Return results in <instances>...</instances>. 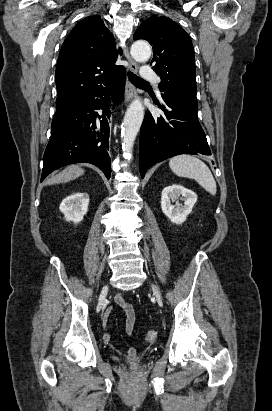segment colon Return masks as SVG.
<instances>
[{
  "label": "colon",
  "instance_id": "colon-1",
  "mask_svg": "<svg viewBox=\"0 0 272 411\" xmlns=\"http://www.w3.org/2000/svg\"><path fill=\"white\" fill-rule=\"evenodd\" d=\"M157 332L154 330H150L145 334V340L147 342H154L157 339Z\"/></svg>",
  "mask_w": 272,
  "mask_h": 411
}]
</instances>
